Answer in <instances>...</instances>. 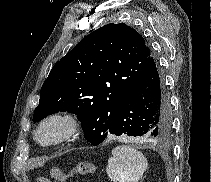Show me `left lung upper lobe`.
<instances>
[{"instance_id":"1","label":"left lung upper lobe","mask_w":211,"mask_h":182,"mask_svg":"<svg viewBox=\"0 0 211 182\" xmlns=\"http://www.w3.org/2000/svg\"><path fill=\"white\" fill-rule=\"evenodd\" d=\"M150 58L144 38L124 23L91 32L51 69L33 121L59 111L74 113L86 140L99 145L111 133L120 106L141 81Z\"/></svg>"}]
</instances>
